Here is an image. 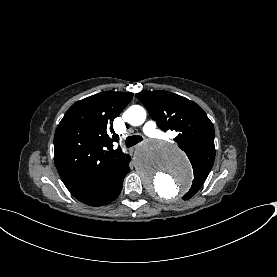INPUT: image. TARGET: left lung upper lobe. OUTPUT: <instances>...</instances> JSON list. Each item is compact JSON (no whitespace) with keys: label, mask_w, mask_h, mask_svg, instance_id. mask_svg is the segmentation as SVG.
Masks as SVG:
<instances>
[{"label":"left lung upper lobe","mask_w":277,"mask_h":277,"mask_svg":"<svg viewBox=\"0 0 277 277\" xmlns=\"http://www.w3.org/2000/svg\"><path fill=\"white\" fill-rule=\"evenodd\" d=\"M136 97L164 131L175 130L174 139L187 154L194 173L192 186L183 200L194 196L206 180L214 162V126L195 102L167 91H142Z\"/></svg>","instance_id":"left-lung-upper-lobe-1"}]
</instances>
